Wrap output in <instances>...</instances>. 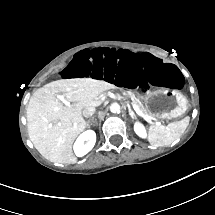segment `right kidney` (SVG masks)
<instances>
[{
    "mask_svg": "<svg viewBox=\"0 0 215 215\" xmlns=\"http://www.w3.org/2000/svg\"><path fill=\"white\" fill-rule=\"evenodd\" d=\"M84 141L86 143L84 144ZM96 143V133L94 130L83 131L75 140L73 144V152L77 157H83L86 155Z\"/></svg>",
    "mask_w": 215,
    "mask_h": 215,
    "instance_id": "right-kidney-1",
    "label": "right kidney"
}]
</instances>
